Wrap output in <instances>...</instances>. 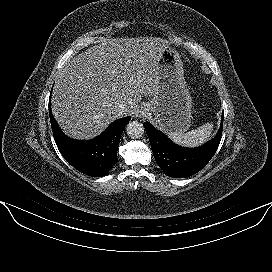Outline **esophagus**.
<instances>
[{
  "instance_id": "34e87169",
  "label": "esophagus",
  "mask_w": 272,
  "mask_h": 272,
  "mask_svg": "<svg viewBox=\"0 0 272 272\" xmlns=\"http://www.w3.org/2000/svg\"><path fill=\"white\" fill-rule=\"evenodd\" d=\"M139 113H141V111H139V112H137V116L139 115V117H140V114ZM143 114V113H142Z\"/></svg>"
}]
</instances>
